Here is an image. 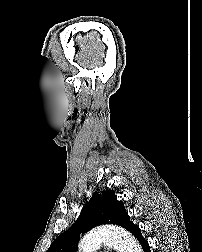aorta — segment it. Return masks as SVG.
<instances>
[{"label":"aorta","mask_w":202,"mask_h":252,"mask_svg":"<svg viewBox=\"0 0 202 252\" xmlns=\"http://www.w3.org/2000/svg\"><path fill=\"white\" fill-rule=\"evenodd\" d=\"M102 243L119 252H142L136 239L119 227H106L90 232L80 241L79 249L81 252H95Z\"/></svg>","instance_id":"obj_1"}]
</instances>
